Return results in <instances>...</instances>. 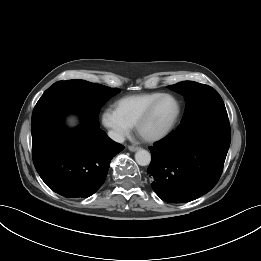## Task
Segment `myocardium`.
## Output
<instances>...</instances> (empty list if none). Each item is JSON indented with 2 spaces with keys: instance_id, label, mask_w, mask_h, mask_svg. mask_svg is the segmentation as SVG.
Instances as JSON below:
<instances>
[{
  "instance_id": "1",
  "label": "myocardium",
  "mask_w": 261,
  "mask_h": 261,
  "mask_svg": "<svg viewBox=\"0 0 261 261\" xmlns=\"http://www.w3.org/2000/svg\"><path fill=\"white\" fill-rule=\"evenodd\" d=\"M164 98H170L175 102L176 111H175L173 117L162 130H160L154 134H150V135L144 134L143 133L144 125L149 121V119L151 118L157 105ZM180 113H181V105H180L178 99L172 94L162 93L154 101L151 102V104L146 108V110L142 113V115L137 120V122L135 124L136 133L138 134V136L140 138H142L144 141H147V142H156V141L162 140L163 138H165L172 132V130L174 129V127L176 126V124L178 122Z\"/></svg>"
}]
</instances>
